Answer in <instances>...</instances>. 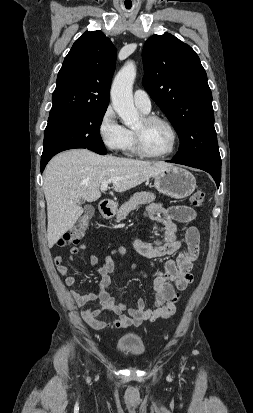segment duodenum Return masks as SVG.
<instances>
[{
  "label": "duodenum",
  "mask_w": 253,
  "mask_h": 413,
  "mask_svg": "<svg viewBox=\"0 0 253 413\" xmlns=\"http://www.w3.org/2000/svg\"><path fill=\"white\" fill-rule=\"evenodd\" d=\"M99 211L104 218H110L114 213V207L110 202L102 201L99 204Z\"/></svg>",
  "instance_id": "obj_1"
}]
</instances>
